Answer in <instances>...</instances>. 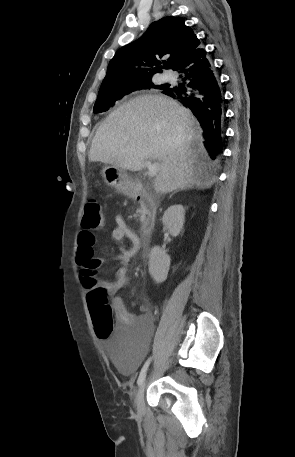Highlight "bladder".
<instances>
[{
	"mask_svg": "<svg viewBox=\"0 0 295 457\" xmlns=\"http://www.w3.org/2000/svg\"><path fill=\"white\" fill-rule=\"evenodd\" d=\"M107 347L114 365L119 371L130 372L137 365L144 364V357L148 355L149 338H107Z\"/></svg>",
	"mask_w": 295,
	"mask_h": 457,
	"instance_id": "bladder-1",
	"label": "bladder"
}]
</instances>
